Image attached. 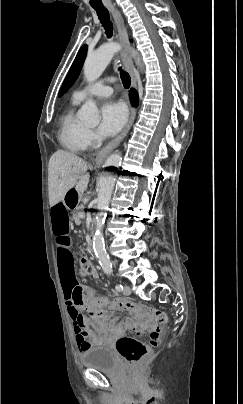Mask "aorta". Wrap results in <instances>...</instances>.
<instances>
[{"mask_svg": "<svg viewBox=\"0 0 243 404\" xmlns=\"http://www.w3.org/2000/svg\"><path fill=\"white\" fill-rule=\"evenodd\" d=\"M122 48V44H118V42H108V44H102L96 52L88 54L83 66L84 76L87 82H94V80L100 78L108 64H110L114 54L120 52ZM128 50H130L132 58H137V60H139L138 52H136V50H131V48H128ZM78 118L81 122H85V124L98 126L100 116L98 108L93 100H87L84 106L80 108ZM121 162L122 156H120V154H112V156H109L108 160L104 162L99 175L100 190L96 202V228L93 238V250L99 262H101L104 272H111V262L104 250L103 226L104 220L108 215L107 210L114 190V183L117 179L115 174L119 169V164H121Z\"/></svg>", "mask_w": 243, "mask_h": 404, "instance_id": "obj_1", "label": "aorta"}]
</instances>
